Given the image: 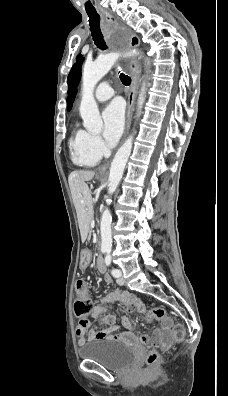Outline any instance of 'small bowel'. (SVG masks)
Here are the masks:
<instances>
[{"label":"small bowel","instance_id":"1","mask_svg":"<svg viewBox=\"0 0 228 396\" xmlns=\"http://www.w3.org/2000/svg\"><path fill=\"white\" fill-rule=\"evenodd\" d=\"M89 262L90 253L88 251H84L81 257V265L86 267ZM104 280L107 284L112 282L109 275H105ZM116 301L124 303L130 311H137L139 313L145 312V306L134 295L126 291L114 290L102 299L101 305L94 307L90 312L91 317L103 316L102 321L105 324V328L96 330L94 328L87 329L77 327L76 334L78 336L79 345H84L86 342H96L108 339H134L137 336V332L135 331L133 324L127 317L122 318L121 326H119L115 325V316L106 313L104 305ZM120 329H124V331L117 333ZM140 339L144 343H148L152 346H159L165 350L171 345L167 327L154 330L150 337L140 336Z\"/></svg>","mask_w":228,"mask_h":396}]
</instances>
